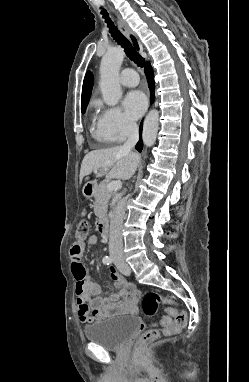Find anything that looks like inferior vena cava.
I'll return each mask as SVG.
<instances>
[{"mask_svg":"<svg viewBox=\"0 0 249 382\" xmlns=\"http://www.w3.org/2000/svg\"><path fill=\"white\" fill-rule=\"evenodd\" d=\"M139 140V130L135 122H130L127 129V141L122 146L125 151H131ZM125 216L124 201L115 206L110 221L109 254L120 259L123 255L122 224Z\"/></svg>","mask_w":249,"mask_h":382,"instance_id":"obj_1","label":"inferior vena cava"}]
</instances>
